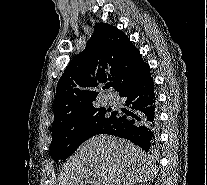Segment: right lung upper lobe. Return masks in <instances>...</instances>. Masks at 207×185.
Wrapping results in <instances>:
<instances>
[{
    "instance_id": "right-lung-upper-lobe-1",
    "label": "right lung upper lobe",
    "mask_w": 207,
    "mask_h": 185,
    "mask_svg": "<svg viewBox=\"0 0 207 185\" xmlns=\"http://www.w3.org/2000/svg\"><path fill=\"white\" fill-rule=\"evenodd\" d=\"M148 72L149 65L122 31L110 24H96L86 48L71 60L57 84L52 128L96 109L101 83L113 81L117 89Z\"/></svg>"
}]
</instances>
